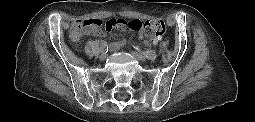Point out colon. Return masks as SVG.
Returning <instances> with one entry per match:
<instances>
[{
    "instance_id": "colon-1",
    "label": "colon",
    "mask_w": 255,
    "mask_h": 122,
    "mask_svg": "<svg viewBox=\"0 0 255 122\" xmlns=\"http://www.w3.org/2000/svg\"><path fill=\"white\" fill-rule=\"evenodd\" d=\"M105 28L111 31L114 28H125L143 31L147 37L160 38L166 32L165 23L160 19H149L142 21L139 19H112L103 22L100 19L76 20L70 28V35L73 39L79 38L85 32H96Z\"/></svg>"
}]
</instances>
